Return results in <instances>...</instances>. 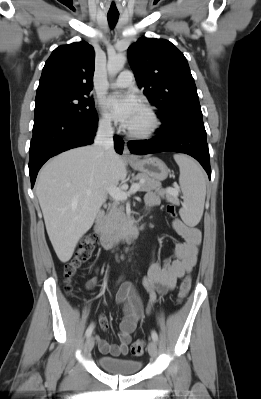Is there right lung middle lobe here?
Instances as JSON below:
<instances>
[{
  "label": "right lung middle lobe",
  "instance_id": "dd1d6c3e",
  "mask_svg": "<svg viewBox=\"0 0 261 399\" xmlns=\"http://www.w3.org/2000/svg\"><path fill=\"white\" fill-rule=\"evenodd\" d=\"M82 94H57L35 99V118L64 114L83 122H92L97 113L93 100Z\"/></svg>",
  "mask_w": 261,
  "mask_h": 399
}]
</instances>
